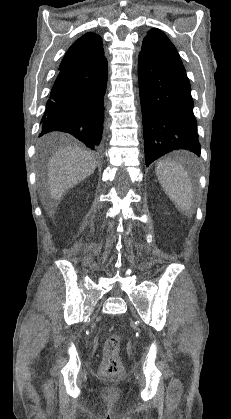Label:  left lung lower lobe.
I'll return each instance as SVG.
<instances>
[{"label": "left lung lower lobe", "mask_w": 231, "mask_h": 419, "mask_svg": "<svg viewBox=\"0 0 231 419\" xmlns=\"http://www.w3.org/2000/svg\"><path fill=\"white\" fill-rule=\"evenodd\" d=\"M138 78L146 166L175 150H189L200 156L197 121L185 68L139 53Z\"/></svg>", "instance_id": "obj_1"}]
</instances>
